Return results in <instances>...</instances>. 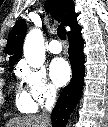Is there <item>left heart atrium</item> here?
Masks as SVG:
<instances>
[{"label": "left heart atrium", "mask_w": 108, "mask_h": 127, "mask_svg": "<svg viewBox=\"0 0 108 127\" xmlns=\"http://www.w3.org/2000/svg\"><path fill=\"white\" fill-rule=\"evenodd\" d=\"M50 76L57 86L65 85L71 77V68L63 58H56L50 65Z\"/></svg>", "instance_id": "left-heart-atrium-1"}]
</instances>
